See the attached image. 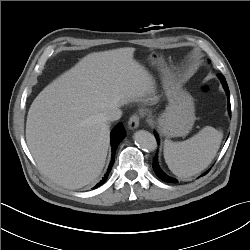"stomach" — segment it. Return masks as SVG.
<instances>
[{
  "instance_id": "stomach-1",
  "label": "stomach",
  "mask_w": 250,
  "mask_h": 250,
  "mask_svg": "<svg viewBox=\"0 0 250 250\" xmlns=\"http://www.w3.org/2000/svg\"><path fill=\"white\" fill-rule=\"evenodd\" d=\"M150 62L157 66L163 75L164 89L169 101L166 110L157 119L158 129L166 137L185 136L196 119L193 98L182 88L160 55L151 54Z\"/></svg>"
}]
</instances>
